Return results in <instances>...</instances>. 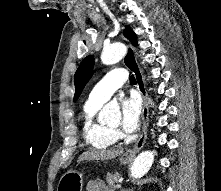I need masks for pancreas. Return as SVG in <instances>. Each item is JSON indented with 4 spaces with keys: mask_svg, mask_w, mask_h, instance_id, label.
Returning a JSON list of instances; mask_svg holds the SVG:
<instances>
[{
    "mask_svg": "<svg viewBox=\"0 0 221 191\" xmlns=\"http://www.w3.org/2000/svg\"><path fill=\"white\" fill-rule=\"evenodd\" d=\"M121 179V175L118 173L112 174V173H108L106 175V182L108 183L109 186L116 188V184H118V182Z\"/></svg>",
    "mask_w": 221,
    "mask_h": 191,
    "instance_id": "1",
    "label": "pancreas"
}]
</instances>
